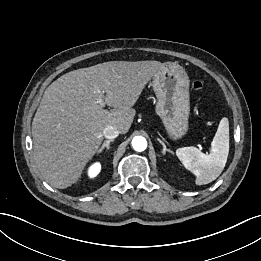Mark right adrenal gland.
I'll return each mask as SVG.
<instances>
[{
  "label": "right adrenal gland",
  "mask_w": 261,
  "mask_h": 261,
  "mask_svg": "<svg viewBox=\"0 0 261 261\" xmlns=\"http://www.w3.org/2000/svg\"><path fill=\"white\" fill-rule=\"evenodd\" d=\"M114 140H106L104 141V143L102 144L101 148L98 150L97 154H101L103 152V150L106 148V150H109V144L111 142H113Z\"/></svg>",
  "instance_id": "1"
}]
</instances>
